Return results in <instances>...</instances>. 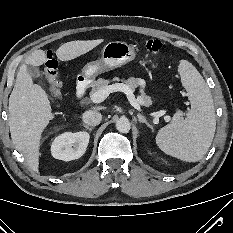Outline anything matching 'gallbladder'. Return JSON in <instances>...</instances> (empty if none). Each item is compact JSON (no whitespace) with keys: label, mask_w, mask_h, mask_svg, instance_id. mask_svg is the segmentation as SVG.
<instances>
[{"label":"gallbladder","mask_w":233,"mask_h":233,"mask_svg":"<svg viewBox=\"0 0 233 233\" xmlns=\"http://www.w3.org/2000/svg\"><path fill=\"white\" fill-rule=\"evenodd\" d=\"M27 71L28 73L32 76V77H39L40 76V71L38 70V68L28 65L27 66Z\"/></svg>","instance_id":"gallbladder-1"}]
</instances>
